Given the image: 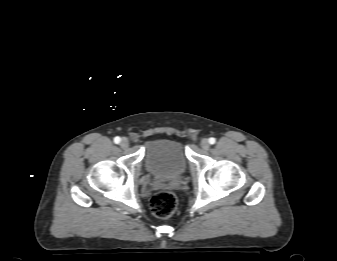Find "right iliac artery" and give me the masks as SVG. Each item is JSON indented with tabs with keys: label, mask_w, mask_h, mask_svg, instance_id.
Segmentation results:
<instances>
[{
	"label": "right iliac artery",
	"mask_w": 337,
	"mask_h": 261,
	"mask_svg": "<svg viewBox=\"0 0 337 261\" xmlns=\"http://www.w3.org/2000/svg\"><path fill=\"white\" fill-rule=\"evenodd\" d=\"M120 141H121L120 137L117 136V137L114 138V142L116 144L120 143Z\"/></svg>",
	"instance_id": "obj_1"
}]
</instances>
